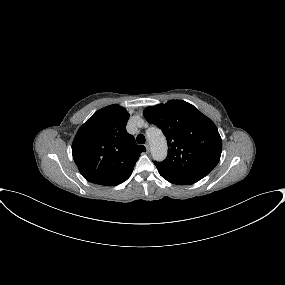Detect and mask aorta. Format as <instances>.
<instances>
[{"label": "aorta", "mask_w": 285, "mask_h": 285, "mask_svg": "<svg viewBox=\"0 0 285 285\" xmlns=\"http://www.w3.org/2000/svg\"><path fill=\"white\" fill-rule=\"evenodd\" d=\"M152 157L157 161H162L167 156V142L162 131L157 127H151L146 132Z\"/></svg>", "instance_id": "obj_1"}]
</instances>
